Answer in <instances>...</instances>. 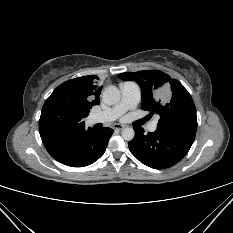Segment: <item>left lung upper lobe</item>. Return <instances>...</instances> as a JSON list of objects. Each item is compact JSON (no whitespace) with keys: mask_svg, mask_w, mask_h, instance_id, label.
I'll return each mask as SVG.
<instances>
[{"mask_svg":"<svg viewBox=\"0 0 233 233\" xmlns=\"http://www.w3.org/2000/svg\"><path fill=\"white\" fill-rule=\"evenodd\" d=\"M118 77L124 81H136L140 85L142 109L160 117L157 130L196 134V108L190 94L179 81L159 70L125 72ZM166 93L167 99L158 98V94Z\"/></svg>","mask_w":233,"mask_h":233,"instance_id":"obj_1","label":"left lung upper lobe"}]
</instances>
